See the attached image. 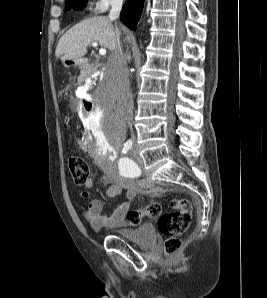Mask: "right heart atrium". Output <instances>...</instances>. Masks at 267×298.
I'll return each mask as SVG.
<instances>
[{"label": "right heart atrium", "mask_w": 267, "mask_h": 298, "mask_svg": "<svg viewBox=\"0 0 267 298\" xmlns=\"http://www.w3.org/2000/svg\"><path fill=\"white\" fill-rule=\"evenodd\" d=\"M123 0H93L92 9L96 14L106 12L111 7L121 5Z\"/></svg>", "instance_id": "d8ad5b80"}]
</instances>
